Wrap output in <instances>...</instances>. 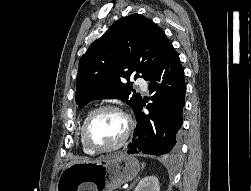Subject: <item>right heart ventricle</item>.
I'll use <instances>...</instances> for the list:
<instances>
[{
  "instance_id": "obj_1",
  "label": "right heart ventricle",
  "mask_w": 251,
  "mask_h": 191,
  "mask_svg": "<svg viewBox=\"0 0 251 191\" xmlns=\"http://www.w3.org/2000/svg\"><path fill=\"white\" fill-rule=\"evenodd\" d=\"M79 148L81 150L82 153L89 155V156H93L94 154H91L90 152H88L82 145L81 140H80V133H79Z\"/></svg>"
}]
</instances>
